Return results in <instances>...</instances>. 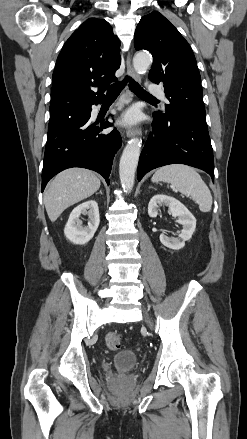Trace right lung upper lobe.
Here are the masks:
<instances>
[{
	"mask_svg": "<svg viewBox=\"0 0 247 439\" xmlns=\"http://www.w3.org/2000/svg\"><path fill=\"white\" fill-rule=\"evenodd\" d=\"M119 48L120 41L106 20L90 18L80 25L57 58L50 112L103 100L106 87L117 80Z\"/></svg>",
	"mask_w": 247,
	"mask_h": 439,
	"instance_id": "right-lung-upper-lobe-1",
	"label": "right lung upper lobe"
}]
</instances>
